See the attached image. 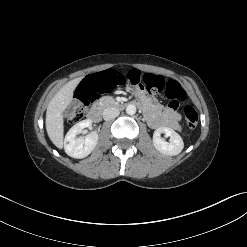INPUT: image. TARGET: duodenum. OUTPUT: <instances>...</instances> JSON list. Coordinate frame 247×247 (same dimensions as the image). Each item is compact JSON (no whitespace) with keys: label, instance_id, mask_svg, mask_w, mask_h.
Masks as SVG:
<instances>
[{"label":"duodenum","instance_id":"1","mask_svg":"<svg viewBox=\"0 0 247 247\" xmlns=\"http://www.w3.org/2000/svg\"><path fill=\"white\" fill-rule=\"evenodd\" d=\"M128 105H134L138 108H143V104L140 101H133L130 103H126V102H115L113 104V107L116 109H124L126 106ZM102 117V109L100 107H95L93 108L88 115V118L93 121V122H99L101 120Z\"/></svg>","mask_w":247,"mask_h":247}]
</instances>
